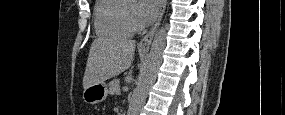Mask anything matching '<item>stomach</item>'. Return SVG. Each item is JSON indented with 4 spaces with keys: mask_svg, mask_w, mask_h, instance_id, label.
I'll return each instance as SVG.
<instances>
[{
    "mask_svg": "<svg viewBox=\"0 0 285 115\" xmlns=\"http://www.w3.org/2000/svg\"><path fill=\"white\" fill-rule=\"evenodd\" d=\"M108 95L106 83H96L84 89L82 98L87 104H98L103 102Z\"/></svg>",
    "mask_w": 285,
    "mask_h": 115,
    "instance_id": "1",
    "label": "stomach"
}]
</instances>
